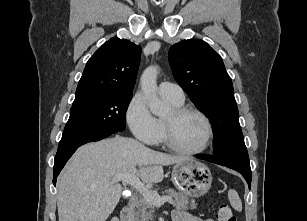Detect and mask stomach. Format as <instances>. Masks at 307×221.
I'll use <instances>...</instances> for the list:
<instances>
[{"label": "stomach", "mask_w": 307, "mask_h": 221, "mask_svg": "<svg viewBox=\"0 0 307 221\" xmlns=\"http://www.w3.org/2000/svg\"><path fill=\"white\" fill-rule=\"evenodd\" d=\"M212 180L208 166L197 160L188 159L173 166L172 181L186 196H203L210 189Z\"/></svg>", "instance_id": "stomach-1"}]
</instances>
